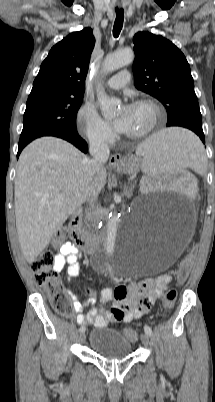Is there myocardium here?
Segmentation results:
<instances>
[{
  "instance_id": "obj_1",
  "label": "myocardium",
  "mask_w": 215,
  "mask_h": 402,
  "mask_svg": "<svg viewBox=\"0 0 215 402\" xmlns=\"http://www.w3.org/2000/svg\"><path fill=\"white\" fill-rule=\"evenodd\" d=\"M132 106H147L151 111V120L149 125L141 132L135 134H127V138L139 140L149 136L157 127L162 111L159 104L151 98H140L132 103Z\"/></svg>"
}]
</instances>
